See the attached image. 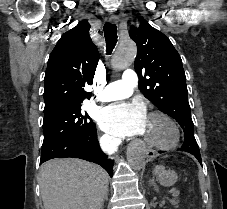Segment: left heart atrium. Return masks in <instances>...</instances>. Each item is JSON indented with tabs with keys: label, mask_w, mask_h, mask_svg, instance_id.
<instances>
[{
	"label": "left heart atrium",
	"mask_w": 227,
	"mask_h": 209,
	"mask_svg": "<svg viewBox=\"0 0 227 209\" xmlns=\"http://www.w3.org/2000/svg\"><path fill=\"white\" fill-rule=\"evenodd\" d=\"M147 120L146 107L141 99L111 103L101 109L97 116L102 130L119 137L139 134Z\"/></svg>",
	"instance_id": "left-heart-atrium-1"
}]
</instances>
